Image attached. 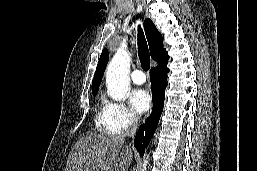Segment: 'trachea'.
I'll use <instances>...</instances> for the list:
<instances>
[{
  "label": "trachea",
  "instance_id": "obj_1",
  "mask_svg": "<svg viewBox=\"0 0 257 171\" xmlns=\"http://www.w3.org/2000/svg\"><path fill=\"white\" fill-rule=\"evenodd\" d=\"M138 55L141 67L144 71H148L150 68L149 50L143 30L140 26L138 28Z\"/></svg>",
  "mask_w": 257,
  "mask_h": 171
}]
</instances>
